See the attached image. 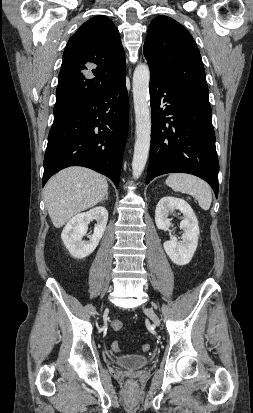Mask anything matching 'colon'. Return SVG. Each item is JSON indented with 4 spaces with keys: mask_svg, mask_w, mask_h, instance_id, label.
I'll return each mask as SVG.
<instances>
[{
    "mask_svg": "<svg viewBox=\"0 0 253 413\" xmlns=\"http://www.w3.org/2000/svg\"><path fill=\"white\" fill-rule=\"evenodd\" d=\"M111 327L114 331H120L123 328V323L120 320H114L111 323ZM112 348L115 351L120 350V346H119L118 342H113ZM150 348H151L150 344H143L142 347H141L142 351H144V352L149 351Z\"/></svg>",
    "mask_w": 253,
    "mask_h": 413,
    "instance_id": "obj_1",
    "label": "colon"
}]
</instances>
